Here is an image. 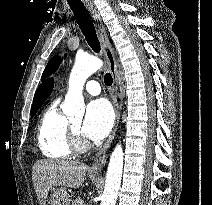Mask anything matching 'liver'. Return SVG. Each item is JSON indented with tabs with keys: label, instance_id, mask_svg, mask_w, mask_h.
I'll use <instances>...</instances> for the list:
<instances>
[{
	"label": "liver",
	"instance_id": "6515ba94",
	"mask_svg": "<svg viewBox=\"0 0 212 205\" xmlns=\"http://www.w3.org/2000/svg\"><path fill=\"white\" fill-rule=\"evenodd\" d=\"M88 166L80 162L39 160L33 166L34 189L40 205H45L48 192L54 186L79 188Z\"/></svg>",
	"mask_w": 212,
	"mask_h": 205
}]
</instances>
